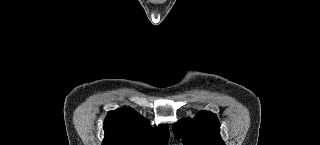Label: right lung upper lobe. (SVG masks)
Instances as JSON below:
<instances>
[{
	"instance_id": "cb5924a9",
	"label": "right lung upper lobe",
	"mask_w": 320,
	"mask_h": 145,
	"mask_svg": "<svg viewBox=\"0 0 320 145\" xmlns=\"http://www.w3.org/2000/svg\"><path fill=\"white\" fill-rule=\"evenodd\" d=\"M103 145H165L169 133L166 125L152 128L133 109L110 111L106 117Z\"/></svg>"
}]
</instances>
